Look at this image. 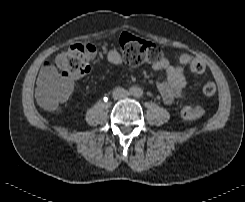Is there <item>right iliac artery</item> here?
<instances>
[{"label": "right iliac artery", "mask_w": 245, "mask_h": 202, "mask_svg": "<svg viewBox=\"0 0 245 202\" xmlns=\"http://www.w3.org/2000/svg\"><path fill=\"white\" fill-rule=\"evenodd\" d=\"M130 93H131V94L133 93V90H132V89H130Z\"/></svg>", "instance_id": "right-iliac-artery-1"}]
</instances>
